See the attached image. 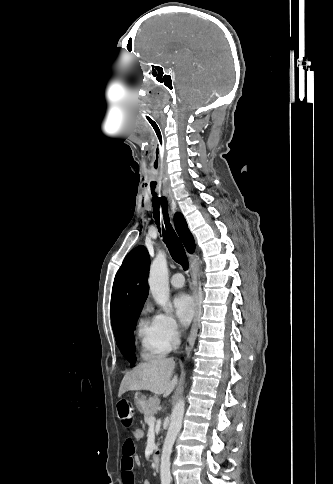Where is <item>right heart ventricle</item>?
<instances>
[{"label": "right heart ventricle", "instance_id": "1", "mask_svg": "<svg viewBox=\"0 0 333 484\" xmlns=\"http://www.w3.org/2000/svg\"><path fill=\"white\" fill-rule=\"evenodd\" d=\"M137 335L140 341V352L144 359H153L166 354L159 340L154 320L145 317L138 321Z\"/></svg>", "mask_w": 333, "mask_h": 484}]
</instances>
